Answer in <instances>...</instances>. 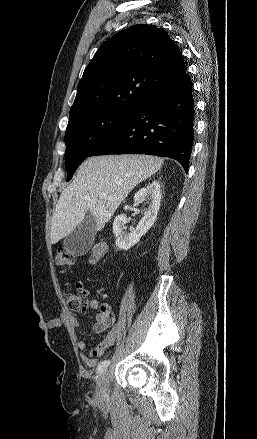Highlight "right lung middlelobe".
<instances>
[{"label": "right lung middle lobe", "instance_id": "dd1d6c3e", "mask_svg": "<svg viewBox=\"0 0 257 439\" xmlns=\"http://www.w3.org/2000/svg\"><path fill=\"white\" fill-rule=\"evenodd\" d=\"M135 110L98 109L72 118L65 133V166L69 181L78 166L95 147L122 124Z\"/></svg>", "mask_w": 257, "mask_h": 439}]
</instances>
